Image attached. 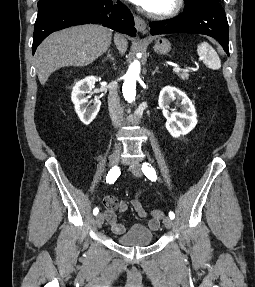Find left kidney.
Here are the masks:
<instances>
[{
  "label": "left kidney",
  "mask_w": 255,
  "mask_h": 287,
  "mask_svg": "<svg viewBox=\"0 0 255 287\" xmlns=\"http://www.w3.org/2000/svg\"><path fill=\"white\" fill-rule=\"evenodd\" d=\"M172 100H181V112L170 110L169 104H171ZM158 104L167 120L165 126L173 138L186 136L195 128L197 124L195 108L188 96L181 90H178V88H173V86L162 88Z\"/></svg>",
  "instance_id": "5707ae66"
}]
</instances>
